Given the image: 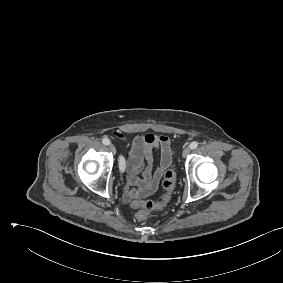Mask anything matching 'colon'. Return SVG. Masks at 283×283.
<instances>
[{"label": "colon", "instance_id": "5ec220e1", "mask_svg": "<svg viewBox=\"0 0 283 283\" xmlns=\"http://www.w3.org/2000/svg\"><path fill=\"white\" fill-rule=\"evenodd\" d=\"M176 186V173L173 169L168 170L165 173L163 180V188L165 189V194L162 196V199L158 202L147 200L139 201L134 199L131 202V206L134 209H138L136 216L138 219H144L150 214L162 210L166 204L170 201L172 193Z\"/></svg>", "mask_w": 283, "mask_h": 283}]
</instances>
